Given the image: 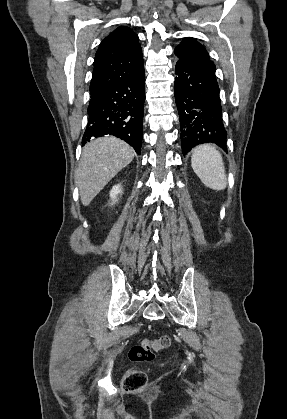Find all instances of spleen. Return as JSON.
Returning <instances> with one entry per match:
<instances>
[{
  "label": "spleen",
  "instance_id": "obj_1",
  "mask_svg": "<svg viewBox=\"0 0 287 419\" xmlns=\"http://www.w3.org/2000/svg\"><path fill=\"white\" fill-rule=\"evenodd\" d=\"M191 166L202 183L213 190H223L227 177L222 155L214 145L202 144L194 148Z\"/></svg>",
  "mask_w": 287,
  "mask_h": 419
}]
</instances>
